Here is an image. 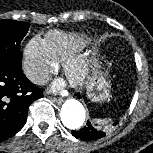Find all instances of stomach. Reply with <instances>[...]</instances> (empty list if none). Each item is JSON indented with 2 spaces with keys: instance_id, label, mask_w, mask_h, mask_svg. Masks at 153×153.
Masks as SVG:
<instances>
[{
  "instance_id": "stomach-1",
  "label": "stomach",
  "mask_w": 153,
  "mask_h": 153,
  "mask_svg": "<svg viewBox=\"0 0 153 153\" xmlns=\"http://www.w3.org/2000/svg\"><path fill=\"white\" fill-rule=\"evenodd\" d=\"M110 85L107 79L95 71L86 84L87 97L93 102H102L109 97Z\"/></svg>"
}]
</instances>
